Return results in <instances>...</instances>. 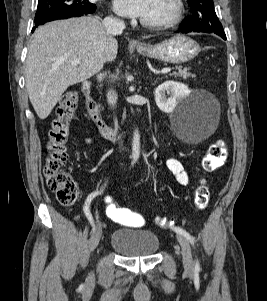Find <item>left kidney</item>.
Returning <instances> with one entry per match:
<instances>
[{"label": "left kidney", "mask_w": 267, "mask_h": 301, "mask_svg": "<svg viewBox=\"0 0 267 301\" xmlns=\"http://www.w3.org/2000/svg\"><path fill=\"white\" fill-rule=\"evenodd\" d=\"M170 97L166 98L165 94ZM190 94L188 87L175 81H166L155 90V101L160 110L170 113L174 110L178 102Z\"/></svg>", "instance_id": "5707ae66"}]
</instances>
